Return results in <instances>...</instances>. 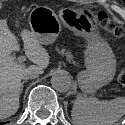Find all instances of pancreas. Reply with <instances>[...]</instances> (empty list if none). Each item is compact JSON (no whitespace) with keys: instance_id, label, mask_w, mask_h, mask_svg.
I'll list each match as a JSON object with an SVG mask.
<instances>
[{"instance_id":"pancreas-1","label":"pancreas","mask_w":125,"mask_h":125,"mask_svg":"<svg viewBox=\"0 0 125 125\" xmlns=\"http://www.w3.org/2000/svg\"><path fill=\"white\" fill-rule=\"evenodd\" d=\"M57 51L61 54H65L67 58H72V54L69 51H66V49L62 48L61 50L57 49Z\"/></svg>"}]
</instances>
